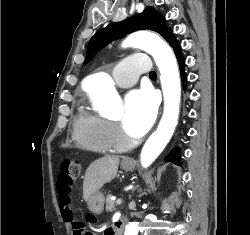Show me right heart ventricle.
Here are the masks:
<instances>
[{
    "mask_svg": "<svg viewBox=\"0 0 250 235\" xmlns=\"http://www.w3.org/2000/svg\"><path fill=\"white\" fill-rule=\"evenodd\" d=\"M109 123L97 112L81 103L74 118V137L78 145L89 151L113 153L122 148L110 137Z\"/></svg>",
    "mask_w": 250,
    "mask_h": 235,
    "instance_id": "1",
    "label": "right heart ventricle"
}]
</instances>
